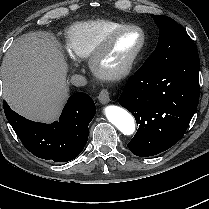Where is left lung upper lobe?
Returning <instances> with one entry per match:
<instances>
[{
  "label": "left lung upper lobe",
  "instance_id": "5c2ea615",
  "mask_svg": "<svg viewBox=\"0 0 209 209\" xmlns=\"http://www.w3.org/2000/svg\"><path fill=\"white\" fill-rule=\"evenodd\" d=\"M152 17L159 27L160 36L156 49L143 66L160 69L198 54L191 38L175 20L168 16Z\"/></svg>",
  "mask_w": 209,
  "mask_h": 209
}]
</instances>
